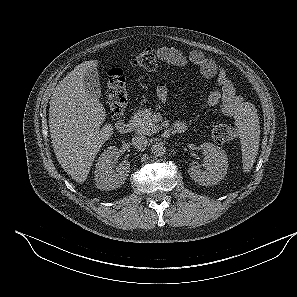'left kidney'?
<instances>
[{"label":"left kidney","mask_w":297,"mask_h":297,"mask_svg":"<svg viewBox=\"0 0 297 297\" xmlns=\"http://www.w3.org/2000/svg\"><path fill=\"white\" fill-rule=\"evenodd\" d=\"M200 147L205 156L206 170H201L199 166L193 165L188 169V173L199 185H215L227 174V155L223 149L212 143H203Z\"/></svg>","instance_id":"1"}]
</instances>
